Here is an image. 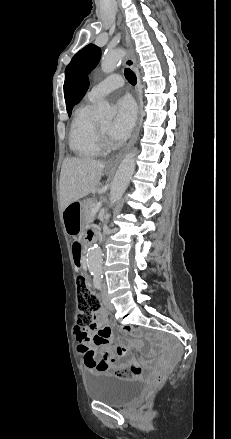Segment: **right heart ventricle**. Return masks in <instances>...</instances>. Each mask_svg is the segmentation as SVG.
<instances>
[{
	"instance_id": "e07e8e85",
	"label": "right heart ventricle",
	"mask_w": 231,
	"mask_h": 439,
	"mask_svg": "<svg viewBox=\"0 0 231 439\" xmlns=\"http://www.w3.org/2000/svg\"><path fill=\"white\" fill-rule=\"evenodd\" d=\"M92 102L89 100L76 108L70 125L69 147L80 158H94L101 152L97 122L91 116Z\"/></svg>"
}]
</instances>
